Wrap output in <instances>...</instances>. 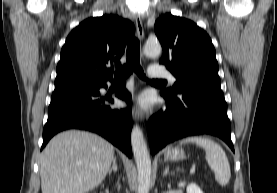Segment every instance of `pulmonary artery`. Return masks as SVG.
I'll return each instance as SVG.
<instances>
[{
	"mask_svg": "<svg viewBox=\"0 0 277 193\" xmlns=\"http://www.w3.org/2000/svg\"><path fill=\"white\" fill-rule=\"evenodd\" d=\"M149 75L152 78H166L169 79L171 82L176 81L175 77L169 71L162 69L158 66H150Z\"/></svg>",
	"mask_w": 277,
	"mask_h": 193,
	"instance_id": "obj_1",
	"label": "pulmonary artery"
}]
</instances>
